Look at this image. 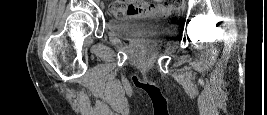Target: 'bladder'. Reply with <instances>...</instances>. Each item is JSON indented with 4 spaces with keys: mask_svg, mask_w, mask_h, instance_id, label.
Segmentation results:
<instances>
[{
    "mask_svg": "<svg viewBox=\"0 0 267 115\" xmlns=\"http://www.w3.org/2000/svg\"><path fill=\"white\" fill-rule=\"evenodd\" d=\"M162 17L159 13H127L111 18L107 22L108 30L121 39H156L165 35V30L156 27L155 22Z\"/></svg>",
    "mask_w": 267,
    "mask_h": 115,
    "instance_id": "1",
    "label": "bladder"
}]
</instances>
